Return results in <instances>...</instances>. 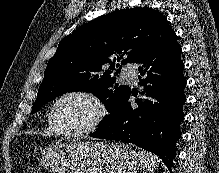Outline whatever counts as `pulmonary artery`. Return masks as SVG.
<instances>
[{
	"label": "pulmonary artery",
	"mask_w": 219,
	"mask_h": 173,
	"mask_svg": "<svg viewBox=\"0 0 219 173\" xmlns=\"http://www.w3.org/2000/svg\"><path fill=\"white\" fill-rule=\"evenodd\" d=\"M121 77L130 82H136V78H137L135 70L130 66H126L122 69Z\"/></svg>",
	"instance_id": "e3ab8cb5"
}]
</instances>
